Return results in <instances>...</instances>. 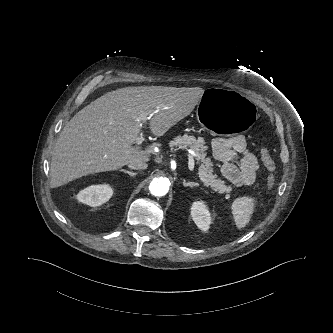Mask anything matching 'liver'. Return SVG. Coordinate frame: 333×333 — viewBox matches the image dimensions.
<instances>
[{
	"label": "liver",
	"mask_w": 333,
	"mask_h": 333,
	"mask_svg": "<svg viewBox=\"0 0 333 333\" xmlns=\"http://www.w3.org/2000/svg\"><path fill=\"white\" fill-rule=\"evenodd\" d=\"M200 87L138 86L108 92L80 110L63 128L50 167L51 184L62 186L82 176L118 170L150 155L134 147L142 129L141 114L150 116L151 132L163 136L199 103Z\"/></svg>",
	"instance_id": "1"
}]
</instances>
